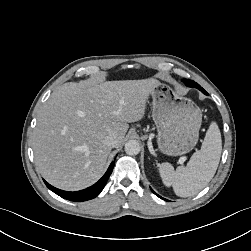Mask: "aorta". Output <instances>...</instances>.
<instances>
[{"mask_svg": "<svg viewBox=\"0 0 251 251\" xmlns=\"http://www.w3.org/2000/svg\"><path fill=\"white\" fill-rule=\"evenodd\" d=\"M125 152L131 156L139 154V152H140L139 142L136 140H129L128 142H126Z\"/></svg>", "mask_w": 251, "mask_h": 251, "instance_id": "aorta-1", "label": "aorta"}]
</instances>
